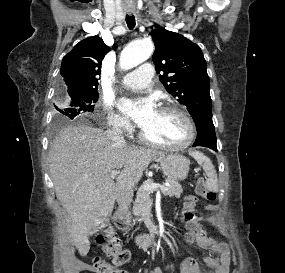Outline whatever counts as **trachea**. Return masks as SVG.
Wrapping results in <instances>:
<instances>
[{"label":"trachea","instance_id":"3493384b","mask_svg":"<svg viewBox=\"0 0 285 273\" xmlns=\"http://www.w3.org/2000/svg\"><path fill=\"white\" fill-rule=\"evenodd\" d=\"M126 23L129 29H133L135 27V17L134 15H126Z\"/></svg>","mask_w":285,"mask_h":273}]
</instances>
